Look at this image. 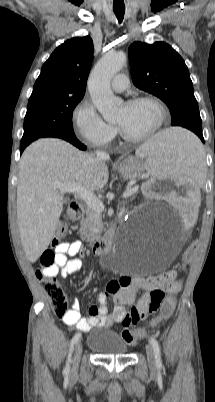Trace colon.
<instances>
[{
	"label": "colon",
	"instance_id": "1",
	"mask_svg": "<svg viewBox=\"0 0 215 402\" xmlns=\"http://www.w3.org/2000/svg\"><path fill=\"white\" fill-rule=\"evenodd\" d=\"M67 232V228L64 224H60L56 230L53 245L57 244L60 239H62ZM198 244L195 240L191 241L190 245H186L184 251L181 252V259L182 260H191L195 258L196 250L198 249ZM55 264V253L52 250H46L40 257V265L43 269H47L52 267ZM43 269L38 271L37 276L41 280L42 286L48 295L51 307L53 312L59 316L63 317L68 312V302L67 296L63 291L60 284L55 280L54 276H48L43 273ZM164 277L166 279H170L174 276L173 271L165 272L159 277ZM169 296L165 300L164 304L162 305L160 317L166 318L170 316L173 311L174 307V292H169ZM165 294L160 292H155L152 295L151 304L149 307V311L152 312L156 310L159 305L161 304L162 300L164 299ZM133 315L135 317L138 316V312L135 310L133 311ZM144 336V330H131L125 329L121 333L122 339L127 344H135L137 343L142 337Z\"/></svg>",
	"mask_w": 215,
	"mask_h": 402
}]
</instances>
